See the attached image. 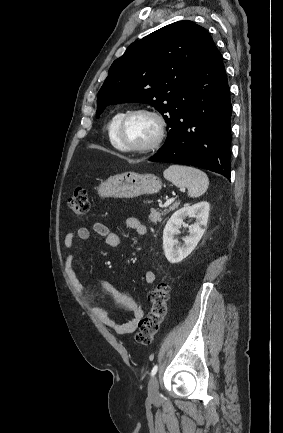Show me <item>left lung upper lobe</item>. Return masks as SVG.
<instances>
[{"instance_id": "left-lung-upper-lobe-1", "label": "left lung upper lobe", "mask_w": 283, "mask_h": 433, "mask_svg": "<svg viewBox=\"0 0 283 433\" xmlns=\"http://www.w3.org/2000/svg\"><path fill=\"white\" fill-rule=\"evenodd\" d=\"M214 46L206 29L190 20L132 43L109 69L96 117L107 105L138 102L150 104L171 124L190 106V86Z\"/></svg>"}]
</instances>
